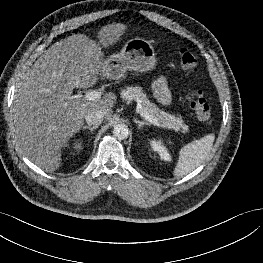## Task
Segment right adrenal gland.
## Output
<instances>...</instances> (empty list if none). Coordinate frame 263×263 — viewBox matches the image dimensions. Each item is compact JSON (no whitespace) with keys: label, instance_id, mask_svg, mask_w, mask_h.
Returning <instances> with one entry per match:
<instances>
[{"label":"right adrenal gland","instance_id":"right-adrenal-gland-1","mask_svg":"<svg viewBox=\"0 0 263 263\" xmlns=\"http://www.w3.org/2000/svg\"><path fill=\"white\" fill-rule=\"evenodd\" d=\"M96 128H97V126H93V127H91V126H83L82 130H90L91 133H92Z\"/></svg>","mask_w":263,"mask_h":263}]
</instances>
